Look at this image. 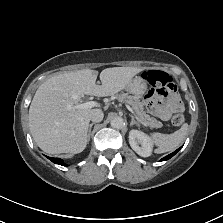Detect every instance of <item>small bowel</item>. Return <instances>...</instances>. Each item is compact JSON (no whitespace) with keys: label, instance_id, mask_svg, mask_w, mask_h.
Returning <instances> with one entry per match:
<instances>
[{"label":"small bowel","instance_id":"obj_1","mask_svg":"<svg viewBox=\"0 0 223 223\" xmlns=\"http://www.w3.org/2000/svg\"><path fill=\"white\" fill-rule=\"evenodd\" d=\"M144 103L154 116L163 121L168 120L172 113L183 109L177 92L162 86L149 90L144 96Z\"/></svg>","mask_w":223,"mask_h":223}]
</instances>
